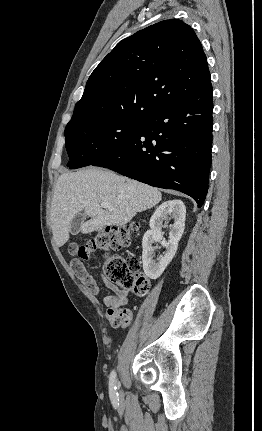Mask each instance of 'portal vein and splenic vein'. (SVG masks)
<instances>
[{"instance_id": "portal-vein-and-splenic-vein-1", "label": "portal vein and splenic vein", "mask_w": 262, "mask_h": 431, "mask_svg": "<svg viewBox=\"0 0 262 431\" xmlns=\"http://www.w3.org/2000/svg\"><path fill=\"white\" fill-rule=\"evenodd\" d=\"M101 207L102 208H104V209H107V210H109V211H113L114 210V208L112 207V206H110L108 203H106V202H102L101 203Z\"/></svg>"}]
</instances>
